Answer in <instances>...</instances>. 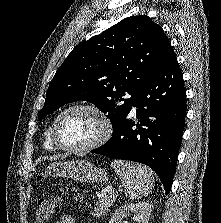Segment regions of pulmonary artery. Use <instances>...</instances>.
I'll return each mask as SVG.
<instances>
[{
  "label": "pulmonary artery",
  "mask_w": 221,
  "mask_h": 223,
  "mask_svg": "<svg viewBox=\"0 0 221 223\" xmlns=\"http://www.w3.org/2000/svg\"><path fill=\"white\" fill-rule=\"evenodd\" d=\"M127 98L129 97V96H126ZM133 111H135V107L133 108Z\"/></svg>",
  "instance_id": "obj_1"
}]
</instances>
